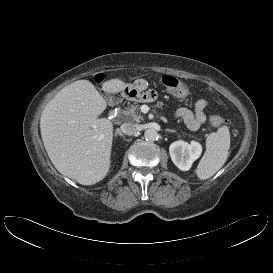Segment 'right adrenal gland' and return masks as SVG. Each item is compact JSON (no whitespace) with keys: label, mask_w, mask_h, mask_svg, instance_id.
I'll use <instances>...</instances> for the list:
<instances>
[{"label":"right adrenal gland","mask_w":273,"mask_h":273,"mask_svg":"<svg viewBox=\"0 0 273 273\" xmlns=\"http://www.w3.org/2000/svg\"><path fill=\"white\" fill-rule=\"evenodd\" d=\"M118 135L121 136V137H123V138H125V135H123L120 130H117L115 132V136L117 137Z\"/></svg>","instance_id":"right-adrenal-gland-1"}]
</instances>
